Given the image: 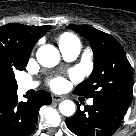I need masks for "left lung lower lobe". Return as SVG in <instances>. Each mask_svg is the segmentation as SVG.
<instances>
[{"instance_id":"1","label":"left lung lower lobe","mask_w":136,"mask_h":136,"mask_svg":"<svg viewBox=\"0 0 136 136\" xmlns=\"http://www.w3.org/2000/svg\"><path fill=\"white\" fill-rule=\"evenodd\" d=\"M92 106L65 120L67 127L79 136H108L118 127L129 104L109 99H93Z\"/></svg>"}]
</instances>
